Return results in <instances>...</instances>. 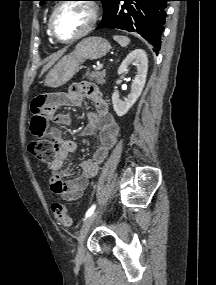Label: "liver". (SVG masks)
<instances>
[{"instance_id":"1","label":"liver","mask_w":216,"mask_h":285,"mask_svg":"<svg viewBox=\"0 0 216 285\" xmlns=\"http://www.w3.org/2000/svg\"><path fill=\"white\" fill-rule=\"evenodd\" d=\"M65 52V50H62L58 52L57 54L53 55L51 60L42 68L41 75L45 73Z\"/></svg>"}]
</instances>
